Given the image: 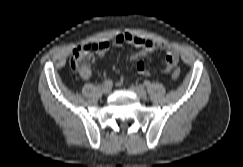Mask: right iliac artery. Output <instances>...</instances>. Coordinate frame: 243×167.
<instances>
[{"instance_id": "obj_1", "label": "right iliac artery", "mask_w": 243, "mask_h": 167, "mask_svg": "<svg viewBox=\"0 0 243 167\" xmlns=\"http://www.w3.org/2000/svg\"><path fill=\"white\" fill-rule=\"evenodd\" d=\"M104 84H105V85H108V86H111V85H112V80H110V79H106V80L104 81Z\"/></svg>"}]
</instances>
